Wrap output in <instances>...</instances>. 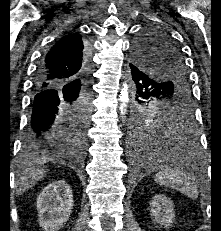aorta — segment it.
<instances>
[{"label": "aorta", "instance_id": "aorta-1", "mask_svg": "<svg viewBox=\"0 0 221 231\" xmlns=\"http://www.w3.org/2000/svg\"><path fill=\"white\" fill-rule=\"evenodd\" d=\"M119 101H120V112H121V115L124 116L126 114V107L129 101V92H128L127 84H124L121 89V92L119 95Z\"/></svg>", "mask_w": 221, "mask_h": 231}]
</instances>
